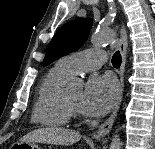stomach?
<instances>
[{"instance_id": "0dacf381", "label": "stomach", "mask_w": 155, "mask_h": 149, "mask_svg": "<svg viewBox=\"0 0 155 149\" xmlns=\"http://www.w3.org/2000/svg\"><path fill=\"white\" fill-rule=\"evenodd\" d=\"M13 149H40L35 142H17L12 146Z\"/></svg>"}]
</instances>
